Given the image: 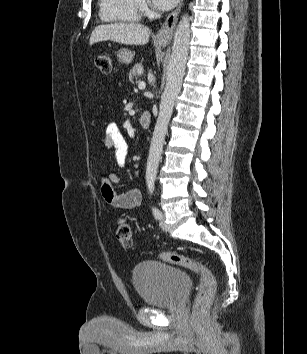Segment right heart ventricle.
I'll use <instances>...</instances> for the list:
<instances>
[{
    "label": "right heart ventricle",
    "mask_w": 307,
    "mask_h": 354,
    "mask_svg": "<svg viewBox=\"0 0 307 354\" xmlns=\"http://www.w3.org/2000/svg\"><path fill=\"white\" fill-rule=\"evenodd\" d=\"M99 5L105 22H137L141 18L139 0H99Z\"/></svg>",
    "instance_id": "obj_1"
}]
</instances>
